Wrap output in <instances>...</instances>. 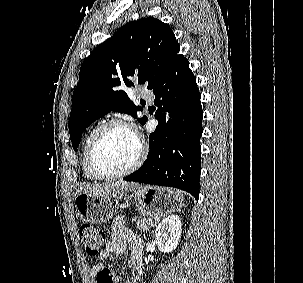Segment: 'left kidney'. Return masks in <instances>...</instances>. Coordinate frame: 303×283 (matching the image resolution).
Returning <instances> with one entry per match:
<instances>
[{"instance_id": "obj_1", "label": "left kidney", "mask_w": 303, "mask_h": 283, "mask_svg": "<svg viewBox=\"0 0 303 283\" xmlns=\"http://www.w3.org/2000/svg\"><path fill=\"white\" fill-rule=\"evenodd\" d=\"M181 230L182 224L178 216L173 215L163 219L155 231L159 250L168 253L176 249L181 237Z\"/></svg>"}]
</instances>
